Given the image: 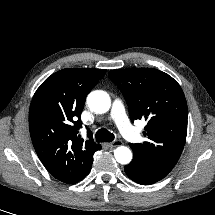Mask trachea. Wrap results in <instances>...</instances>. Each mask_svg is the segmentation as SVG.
Listing matches in <instances>:
<instances>
[{"label":"trachea","mask_w":215,"mask_h":215,"mask_svg":"<svg viewBox=\"0 0 215 215\" xmlns=\"http://www.w3.org/2000/svg\"><path fill=\"white\" fill-rule=\"evenodd\" d=\"M114 138V134L104 128L99 129L95 134L97 142H112Z\"/></svg>","instance_id":"1"}]
</instances>
